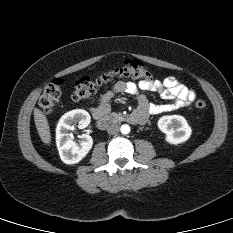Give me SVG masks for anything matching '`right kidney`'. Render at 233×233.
<instances>
[{
    "label": "right kidney",
    "instance_id": "ca27d5eb",
    "mask_svg": "<svg viewBox=\"0 0 233 233\" xmlns=\"http://www.w3.org/2000/svg\"><path fill=\"white\" fill-rule=\"evenodd\" d=\"M91 121L89 113L83 109H75L65 113L56 127V145L61 160L65 164H76L80 162L93 146V139L88 134L81 135V140L75 142L71 139L69 130L72 124L78 123L79 129L86 128Z\"/></svg>",
    "mask_w": 233,
    "mask_h": 233
}]
</instances>
